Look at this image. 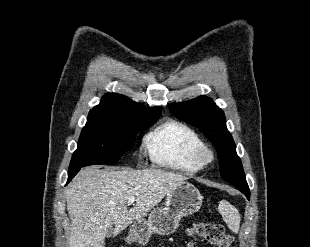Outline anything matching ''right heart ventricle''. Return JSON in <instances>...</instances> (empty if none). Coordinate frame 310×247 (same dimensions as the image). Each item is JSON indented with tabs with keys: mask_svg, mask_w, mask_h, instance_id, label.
Here are the masks:
<instances>
[{
	"mask_svg": "<svg viewBox=\"0 0 310 247\" xmlns=\"http://www.w3.org/2000/svg\"><path fill=\"white\" fill-rule=\"evenodd\" d=\"M144 147L151 160L165 168L194 173L200 169L195 152L204 142L188 125L167 120L144 137Z\"/></svg>",
	"mask_w": 310,
	"mask_h": 247,
	"instance_id": "1",
	"label": "right heart ventricle"
}]
</instances>
